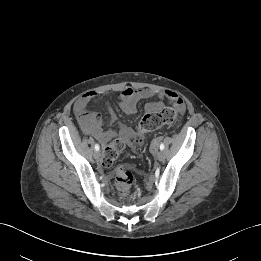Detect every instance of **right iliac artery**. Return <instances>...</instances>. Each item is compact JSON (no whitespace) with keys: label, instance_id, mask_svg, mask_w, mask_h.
Returning <instances> with one entry per match:
<instances>
[{"label":"right iliac artery","instance_id":"1","mask_svg":"<svg viewBox=\"0 0 261 261\" xmlns=\"http://www.w3.org/2000/svg\"><path fill=\"white\" fill-rule=\"evenodd\" d=\"M94 148H95L96 151H99V149H100V147H99L98 144H95V147H94Z\"/></svg>","mask_w":261,"mask_h":261}]
</instances>
